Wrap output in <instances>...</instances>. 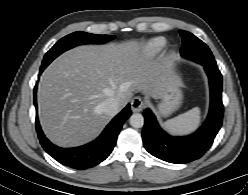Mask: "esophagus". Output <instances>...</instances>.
Masks as SVG:
<instances>
[{"mask_svg": "<svg viewBox=\"0 0 248 195\" xmlns=\"http://www.w3.org/2000/svg\"><path fill=\"white\" fill-rule=\"evenodd\" d=\"M145 102L140 97H134L131 101V109L133 112H140L144 109Z\"/></svg>", "mask_w": 248, "mask_h": 195, "instance_id": "obj_1", "label": "esophagus"}]
</instances>
